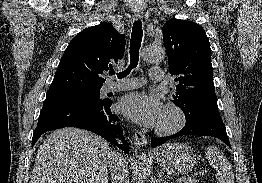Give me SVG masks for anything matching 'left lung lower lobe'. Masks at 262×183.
Wrapping results in <instances>:
<instances>
[{"instance_id":"0a47b994","label":"left lung lower lobe","mask_w":262,"mask_h":183,"mask_svg":"<svg viewBox=\"0 0 262 183\" xmlns=\"http://www.w3.org/2000/svg\"><path fill=\"white\" fill-rule=\"evenodd\" d=\"M184 135L216 137L231 147L221 116L210 114L198 115L187 119L186 125L179 132L167 137H154L151 139V144L152 146L157 147L170 139Z\"/></svg>"}]
</instances>
